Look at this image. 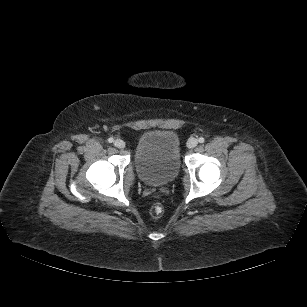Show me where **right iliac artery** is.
<instances>
[{
  "mask_svg": "<svg viewBox=\"0 0 307 307\" xmlns=\"http://www.w3.org/2000/svg\"><path fill=\"white\" fill-rule=\"evenodd\" d=\"M108 142L112 143V142H114V139L112 137H110V138H108Z\"/></svg>",
  "mask_w": 307,
  "mask_h": 307,
  "instance_id": "82829eb1",
  "label": "right iliac artery"
}]
</instances>
